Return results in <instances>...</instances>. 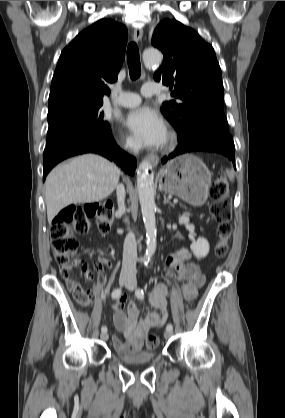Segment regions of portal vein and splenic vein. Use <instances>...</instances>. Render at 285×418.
Here are the masks:
<instances>
[{"mask_svg": "<svg viewBox=\"0 0 285 418\" xmlns=\"http://www.w3.org/2000/svg\"><path fill=\"white\" fill-rule=\"evenodd\" d=\"M177 202H178V200H177V199H175V200H174V203H177Z\"/></svg>", "mask_w": 285, "mask_h": 418, "instance_id": "18ae733b", "label": "portal vein and splenic vein"}]
</instances>
